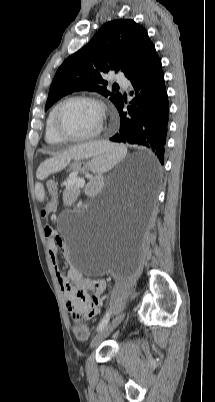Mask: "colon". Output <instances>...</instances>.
I'll return each mask as SVG.
<instances>
[{
	"instance_id": "5ec220e1",
	"label": "colon",
	"mask_w": 215,
	"mask_h": 402,
	"mask_svg": "<svg viewBox=\"0 0 215 402\" xmlns=\"http://www.w3.org/2000/svg\"><path fill=\"white\" fill-rule=\"evenodd\" d=\"M47 188L50 194V201L42 209V215L45 217L48 216L51 212H54L56 209V202H55L56 183L53 180L48 181ZM74 332L79 339H86L88 337V328L86 327V325L81 323L79 317L77 316L74 318Z\"/></svg>"
}]
</instances>
